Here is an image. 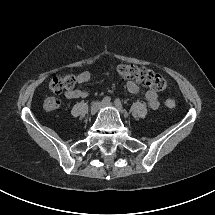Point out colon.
<instances>
[{
    "mask_svg": "<svg viewBox=\"0 0 215 215\" xmlns=\"http://www.w3.org/2000/svg\"><path fill=\"white\" fill-rule=\"evenodd\" d=\"M116 71L121 77L135 80L156 91H164L168 87L167 81L161 75L146 68L133 64H120L116 67ZM77 82V77L71 74L55 76L49 83V89L54 93L72 90ZM164 104L168 109L176 107V101L173 98H166ZM59 105V100L54 96L44 99L43 106L47 111L56 110Z\"/></svg>",
    "mask_w": 215,
    "mask_h": 215,
    "instance_id": "1",
    "label": "colon"
}]
</instances>
